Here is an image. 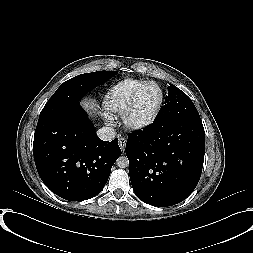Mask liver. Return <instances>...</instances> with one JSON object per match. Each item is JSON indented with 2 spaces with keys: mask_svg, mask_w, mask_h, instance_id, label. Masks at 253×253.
<instances>
[{
  "mask_svg": "<svg viewBox=\"0 0 253 253\" xmlns=\"http://www.w3.org/2000/svg\"><path fill=\"white\" fill-rule=\"evenodd\" d=\"M81 105L84 109H86L89 114H93L96 112L97 110V105H96V102L93 100V99H84L82 102H81Z\"/></svg>",
  "mask_w": 253,
  "mask_h": 253,
  "instance_id": "liver-1",
  "label": "liver"
}]
</instances>
